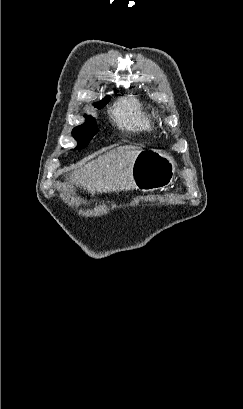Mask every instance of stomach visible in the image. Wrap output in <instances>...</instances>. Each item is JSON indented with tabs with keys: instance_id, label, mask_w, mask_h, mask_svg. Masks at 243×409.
<instances>
[{
	"instance_id": "1",
	"label": "stomach",
	"mask_w": 243,
	"mask_h": 409,
	"mask_svg": "<svg viewBox=\"0 0 243 409\" xmlns=\"http://www.w3.org/2000/svg\"><path fill=\"white\" fill-rule=\"evenodd\" d=\"M132 171L136 189L144 192L162 190L173 181L175 162L159 150L145 149L136 156Z\"/></svg>"
}]
</instances>
